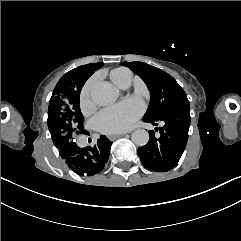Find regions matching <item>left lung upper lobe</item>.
Returning a JSON list of instances; mask_svg holds the SVG:
<instances>
[{
    "mask_svg": "<svg viewBox=\"0 0 241 241\" xmlns=\"http://www.w3.org/2000/svg\"><path fill=\"white\" fill-rule=\"evenodd\" d=\"M122 65L139 75L151 92L150 105L143 120L160 118L181 105H189L184 90L163 70L141 62H124Z\"/></svg>",
    "mask_w": 241,
    "mask_h": 241,
    "instance_id": "5c2ea615",
    "label": "left lung upper lobe"
}]
</instances>
